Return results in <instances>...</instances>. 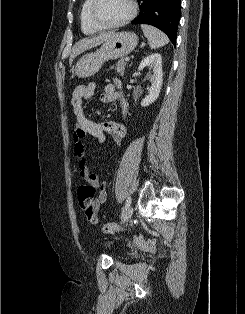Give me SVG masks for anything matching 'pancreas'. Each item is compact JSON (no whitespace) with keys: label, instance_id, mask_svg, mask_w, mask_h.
Returning a JSON list of instances; mask_svg holds the SVG:
<instances>
[{"label":"pancreas","instance_id":"1","mask_svg":"<svg viewBox=\"0 0 245 314\" xmlns=\"http://www.w3.org/2000/svg\"><path fill=\"white\" fill-rule=\"evenodd\" d=\"M125 66H126V62L124 61V59H121L116 63L115 70L120 76H123ZM111 69H114V67H111Z\"/></svg>","mask_w":245,"mask_h":314}]
</instances>
